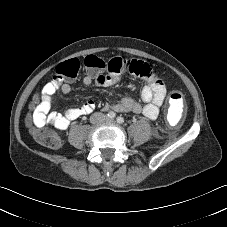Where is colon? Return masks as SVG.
<instances>
[{
	"label": "colon",
	"mask_w": 227,
	"mask_h": 227,
	"mask_svg": "<svg viewBox=\"0 0 227 227\" xmlns=\"http://www.w3.org/2000/svg\"><path fill=\"white\" fill-rule=\"evenodd\" d=\"M115 65V60L106 63L103 59L95 55H87L82 61L77 58L69 59L63 63H60L56 67V75L53 76L45 89L48 92H54L62 85L64 80L75 79L78 76L82 66L91 72L98 73L106 68L109 70H116ZM127 69L143 77L150 76L152 74L151 67L147 63H142L139 61L130 62L127 65ZM167 101L170 114L176 115L183 113L185 109V101L184 95L179 88L173 87L170 89ZM31 133L40 144L48 148L56 149L61 144L60 137L54 131L40 128L32 130Z\"/></svg>",
	"instance_id": "5ec220e1"
}]
</instances>
